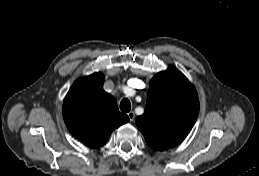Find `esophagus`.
<instances>
[{
  "instance_id": "esophagus-1",
  "label": "esophagus",
  "mask_w": 259,
  "mask_h": 176,
  "mask_svg": "<svg viewBox=\"0 0 259 176\" xmlns=\"http://www.w3.org/2000/svg\"><path fill=\"white\" fill-rule=\"evenodd\" d=\"M128 117H129L130 121H134V119H135V113H134L133 111H130V112L128 113Z\"/></svg>"
}]
</instances>
